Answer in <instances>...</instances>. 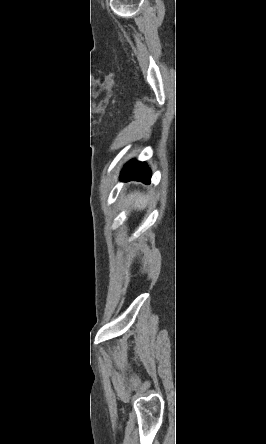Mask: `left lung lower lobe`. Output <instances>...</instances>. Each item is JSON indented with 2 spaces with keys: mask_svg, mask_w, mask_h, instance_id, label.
I'll list each match as a JSON object with an SVG mask.
<instances>
[{
  "mask_svg": "<svg viewBox=\"0 0 266 444\" xmlns=\"http://www.w3.org/2000/svg\"><path fill=\"white\" fill-rule=\"evenodd\" d=\"M120 178L124 181L137 180L150 183L151 171L145 163L132 160L126 164Z\"/></svg>",
  "mask_w": 266,
  "mask_h": 444,
  "instance_id": "obj_1",
  "label": "left lung lower lobe"
}]
</instances>
